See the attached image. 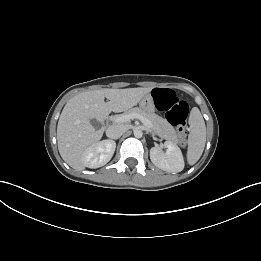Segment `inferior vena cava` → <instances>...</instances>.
Instances as JSON below:
<instances>
[{
	"label": "inferior vena cava",
	"instance_id": "602c4592",
	"mask_svg": "<svg viewBox=\"0 0 261 261\" xmlns=\"http://www.w3.org/2000/svg\"><path fill=\"white\" fill-rule=\"evenodd\" d=\"M126 130L127 128L124 125L114 124L107 128L106 136L110 139H118L126 132Z\"/></svg>",
	"mask_w": 261,
	"mask_h": 261
}]
</instances>
